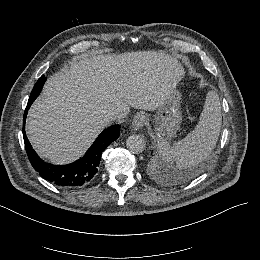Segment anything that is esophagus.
<instances>
[{"instance_id": "34e87169", "label": "esophagus", "mask_w": 260, "mask_h": 260, "mask_svg": "<svg viewBox=\"0 0 260 260\" xmlns=\"http://www.w3.org/2000/svg\"><path fill=\"white\" fill-rule=\"evenodd\" d=\"M147 122V117L144 113H137L132 121L131 127L134 131L142 129Z\"/></svg>"}]
</instances>
